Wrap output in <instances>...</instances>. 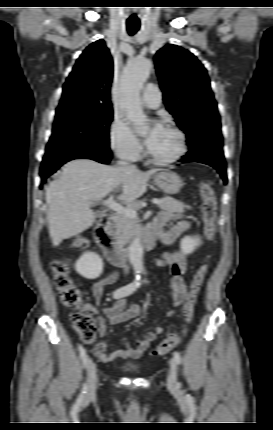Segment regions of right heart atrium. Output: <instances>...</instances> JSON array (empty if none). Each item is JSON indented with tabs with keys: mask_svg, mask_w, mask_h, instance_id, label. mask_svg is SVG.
<instances>
[{
	"mask_svg": "<svg viewBox=\"0 0 273 430\" xmlns=\"http://www.w3.org/2000/svg\"><path fill=\"white\" fill-rule=\"evenodd\" d=\"M110 146L124 160L134 161L142 153V146L128 125L115 119L110 127Z\"/></svg>",
	"mask_w": 273,
	"mask_h": 430,
	"instance_id": "1",
	"label": "right heart atrium"
}]
</instances>
